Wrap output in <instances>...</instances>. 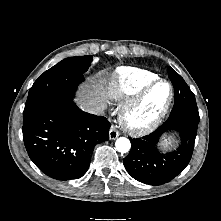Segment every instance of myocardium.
<instances>
[{
    "label": "myocardium",
    "mask_w": 221,
    "mask_h": 221,
    "mask_svg": "<svg viewBox=\"0 0 221 221\" xmlns=\"http://www.w3.org/2000/svg\"><path fill=\"white\" fill-rule=\"evenodd\" d=\"M166 83L169 86V95L159 110L148 120L141 121L138 119V113L145 106L151 92L156 86ZM174 99V87L172 83L166 79H156L147 85L138 96L130 102L121 112V119L124 127L134 134H145L155 129L164 119L169 111Z\"/></svg>",
    "instance_id": "obj_1"
}]
</instances>
